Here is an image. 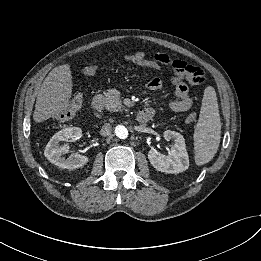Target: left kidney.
Listing matches in <instances>:
<instances>
[{
  "label": "left kidney",
  "instance_id": "5707ae66",
  "mask_svg": "<svg viewBox=\"0 0 261 261\" xmlns=\"http://www.w3.org/2000/svg\"><path fill=\"white\" fill-rule=\"evenodd\" d=\"M164 138L167 141L173 140L174 145L171 147L168 155H163L156 149L148 152V159L152 166L164 173H180L188 169L189 156L186 151L184 137L175 131L167 130L164 132Z\"/></svg>",
  "mask_w": 261,
  "mask_h": 261
}]
</instances>
